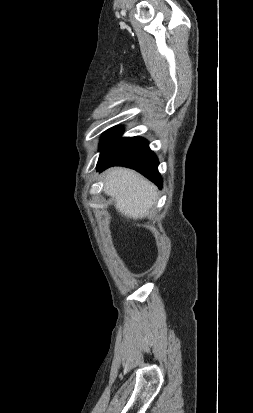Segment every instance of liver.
Here are the masks:
<instances>
[{
    "label": "liver",
    "mask_w": 253,
    "mask_h": 413,
    "mask_svg": "<svg viewBox=\"0 0 253 413\" xmlns=\"http://www.w3.org/2000/svg\"><path fill=\"white\" fill-rule=\"evenodd\" d=\"M104 181V192L115 200L116 210L127 218H142L157 201V188L134 170L110 168L104 173Z\"/></svg>",
    "instance_id": "6515ba94"
}]
</instances>
